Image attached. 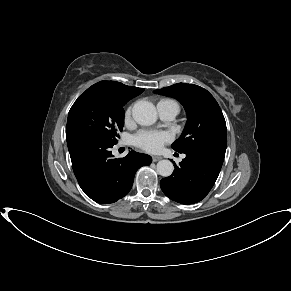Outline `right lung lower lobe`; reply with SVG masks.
<instances>
[{
	"label": "right lung lower lobe",
	"mask_w": 291,
	"mask_h": 291,
	"mask_svg": "<svg viewBox=\"0 0 291 291\" xmlns=\"http://www.w3.org/2000/svg\"><path fill=\"white\" fill-rule=\"evenodd\" d=\"M66 139L78 183L98 203H113L127 195L136 171L152 162L149 155L133 150L124 158H113V145L88 135L68 134Z\"/></svg>",
	"instance_id": "98d812e1"
}]
</instances>
